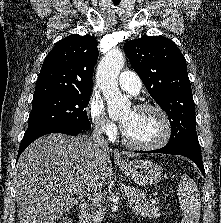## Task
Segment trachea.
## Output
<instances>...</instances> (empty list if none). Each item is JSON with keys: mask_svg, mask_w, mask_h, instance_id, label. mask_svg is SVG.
Masks as SVG:
<instances>
[{"mask_svg": "<svg viewBox=\"0 0 221 223\" xmlns=\"http://www.w3.org/2000/svg\"><path fill=\"white\" fill-rule=\"evenodd\" d=\"M120 2H121V0H113V3H114L115 5H118Z\"/></svg>", "mask_w": 221, "mask_h": 223, "instance_id": "trachea-1", "label": "trachea"}]
</instances>
